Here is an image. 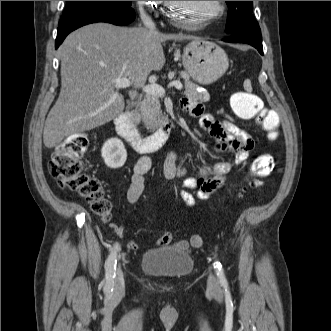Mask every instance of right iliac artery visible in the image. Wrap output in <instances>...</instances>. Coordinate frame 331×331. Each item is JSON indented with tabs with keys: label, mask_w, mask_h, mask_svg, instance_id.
I'll return each instance as SVG.
<instances>
[{
	"label": "right iliac artery",
	"mask_w": 331,
	"mask_h": 331,
	"mask_svg": "<svg viewBox=\"0 0 331 331\" xmlns=\"http://www.w3.org/2000/svg\"><path fill=\"white\" fill-rule=\"evenodd\" d=\"M120 251V246L118 243L114 244L111 248L110 254L105 263V290L112 291L114 287V277L117 263V253Z\"/></svg>",
	"instance_id": "right-iliac-artery-1"
}]
</instances>
